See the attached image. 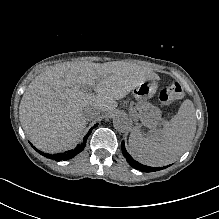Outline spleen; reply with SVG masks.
Masks as SVG:
<instances>
[{"label":"spleen","mask_w":219,"mask_h":219,"mask_svg":"<svg viewBox=\"0 0 219 219\" xmlns=\"http://www.w3.org/2000/svg\"><path fill=\"white\" fill-rule=\"evenodd\" d=\"M195 132V108L193 102L187 99L159 135L143 137L140 130L134 128L129 137V151L135 160L144 165L164 166L174 162L188 149Z\"/></svg>","instance_id":"1"}]
</instances>
